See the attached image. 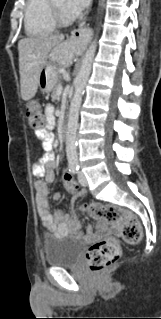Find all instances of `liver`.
Here are the masks:
<instances>
[{
  "label": "liver",
  "mask_w": 161,
  "mask_h": 319,
  "mask_svg": "<svg viewBox=\"0 0 161 319\" xmlns=\"http://www.w3.org/2000/svg\"><path fill=\"white\" fill-rule=\"evenodd\" d=\"M64 40V35L44 34L23 38L18 43L21 97L32 99L38 88L39 75L52 48ZM73 50L68 65L71 64Z\"/></svg>",
  "instance_id": "6515ba94"
}]
</instances>
